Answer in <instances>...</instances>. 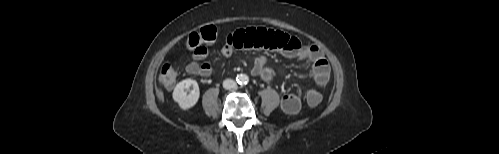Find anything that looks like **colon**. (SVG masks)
<instances>
[{
  "mask_svg": "<svg viewBox=\"0 0 499 154\" xmlns=\"http://www.w3.org/2000/svg\"><path fill=\"white\" fill-rule=\"evenodd\" d=\"M218 29L215 26H206L198 32L191 33L185 40L188 49L196 50L203 43L213 41L216 38ZM177 71L173 65L164 64L160 70L159 82L166 88H172L176 82ZM306 101L309 106L316 107L322 101L321 94L314 88L306 92Z\"/></svg>",
  "mask_w": 499,
  "mask_h": 154,
  "instance_id": "obj_1",
  "label": "colon"
}]
</instances>
